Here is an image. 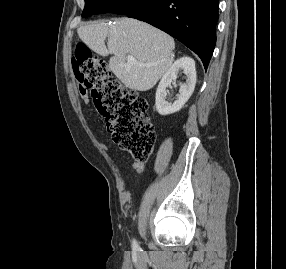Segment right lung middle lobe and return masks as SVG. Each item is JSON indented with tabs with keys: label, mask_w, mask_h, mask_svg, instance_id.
<instances>
[{
	"label": "right lung middle lobe",
	"mask_w": 286,
	"mask_h": 269,
	"mask_svg": "<svg viewBox=\"0 0 286 269\" xmlns=\"http://www.w3.org/2000/svg\"><path fill=\"white\" fill-rule=\"evenodd\" d=\"M152 0H85L82 17L94 14L116 13L128 15L135 12Z\"/></svg>",
	"instance_id": "obj_1"
}]
</instances>
